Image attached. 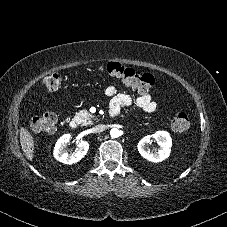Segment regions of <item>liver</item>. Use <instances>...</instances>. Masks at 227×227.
<instances>
[{
  "mask_svg": "<svg viewBox=\"0 0 227 227\" xmlns=\"http://www.w3.org/2000/svg\"><path fill=\"white\" fill-rule=\"evenodd\" d=\"M20 143L26 158L30 161L34 157V140L28 130L24 127L20 129Z\"/></svg>",
  "mask_w": 227,
  "mask_h": 227,
  "instance_id": "obj_1",
  "label": "liver"
}]
</instances>
